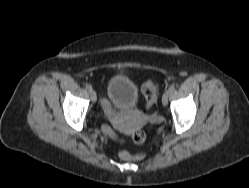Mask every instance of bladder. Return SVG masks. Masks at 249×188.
I'll list each match as a JSON object with an SVG mask.
<instances>
[{
  "mask_svg": "<svg viewBox=\"0 0 249 188\" xmlns=\"http://www.w3.org/2000/svg\"><path fill=\"white\" fill-rule=\"evenodd\" d=\"M107 94L110 101L119 109H131L138 106V85L124 73H116L110 78Z\"/></svg>",
  "mask_w": 249,
  "mask_h": 188,
  "instance_id": "obj_1",
  "label": "bladder"
}]
</instances>
